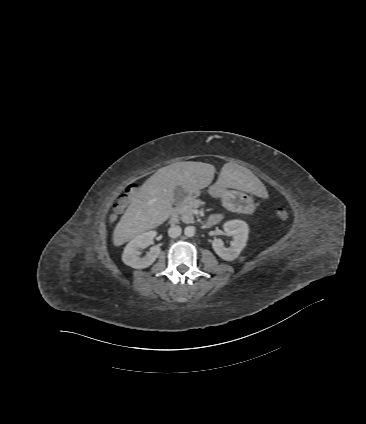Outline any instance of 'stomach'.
Here are the masks:
<instances>
[{
  "instance_id": "obj_1",
  "label": "stomach",
  "mask_w": 366,
  "mask_h": 424,
  "mask_svg": "<svg viewBox=\"0 0 366 424\" xmlns=\"http://www.w3.org/2000/svg\"><path fill=\"white\" fill-rule=\"evenodd\" d=\"M208 192L213 197H220L222 199V205L229 211H238L235 205L236 200L244 201L250 208L253 207V200L248 194L241 191L229 190L217 182L209 187ZM194 194H197V192H194Z\"/></svg>"
}]
</instances>
